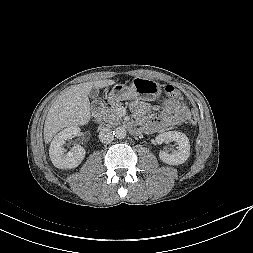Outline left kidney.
Masks as SVG:
<instances>
[{"label": "left kidney", "instance_id": "5707ae66", "mask_svg": "<svg viewBox=\"0 0 253 253\" xmlns=\"http://www.w3.org/2000/svg\"><path fill=\"white\" fill-rule=\"evenodd\" d=\"M155 141L158 144L176 142L178 144L177 150L173 153L160 151L159 158L164 163L169 165L183 164L190 156V142L188 137L178 131H168L159 134Z\"/></svg>", "mask_w": 253, "mask_h": 253}]
</instances>
